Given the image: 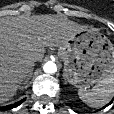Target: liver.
Segmentation results:
<instances>
[{
  "mask_svg": "<svg viewBox=\"0 0 114 114\" xmlns=\"http://www.w3.org/2000/svg\"><path fill=\"white\" fill-rule=\"evenodd\" d=\"M86 29L52 15L0 19V104L11 99L44 57L45 47H61L73 34Z\"/></svg>",
  "mask_w": 114,
  "mask_h": 114,
  "instance_id": "obj_1",
  "label": "liver"
}]
</instances>
